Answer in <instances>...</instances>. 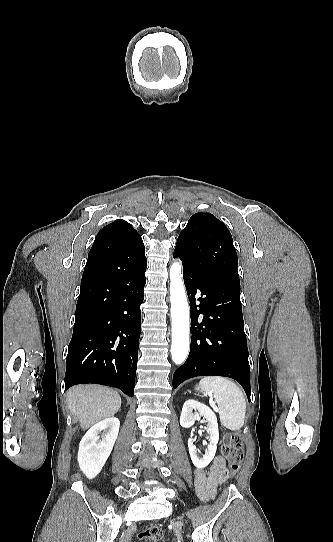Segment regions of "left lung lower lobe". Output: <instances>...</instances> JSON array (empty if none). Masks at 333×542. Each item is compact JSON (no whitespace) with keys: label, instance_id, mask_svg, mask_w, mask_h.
Listing matches in <instances>:
<instances>
[{"label":"left lung lower lobe","instance_id":"0a47b994","mask_svg":"<svg viewBox=\"0 0 333 542\" xmlns=\"http://www.w3.org/2000/svg\"><path fill=\"white\" fill-rule=\"evenodd\" d=\"M173 256L181 259L176 251ZM182 263L191 308L192 336L189 356L173 375V388L196 376H226L238 381L250 400V366L240 285ZM199 292L203 297L196 299ZM200 314L205 316L202 322L198 321Z\"/></svg>","mask_w":333,"mask_h":542}]
</instances>
